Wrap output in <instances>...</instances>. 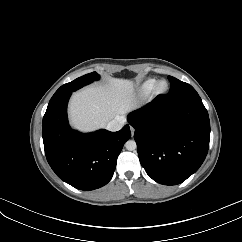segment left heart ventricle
Returning a JSON list of instances; mask_svg holds the SVG:
<instances>
[{
	"label": "left heart ventricle",
	"instance_id": "1",
	"mask_svg": "<svg viewBox=\"0 0 242 242\" xmlns=\"http://www.w3.org/2000/svg\"><path fill=\"white\" fill-rule=\"evenodd\" d=\"M164 88H165V84L163 83L160 85V89H164Z\"/></svg>",
	"mask_w": 242,
	"mask_h": 242
}]
</instances>
